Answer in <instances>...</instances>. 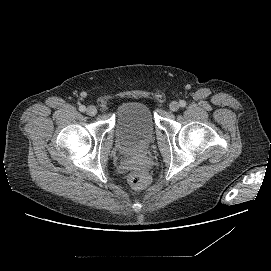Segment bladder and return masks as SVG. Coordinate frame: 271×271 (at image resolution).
I'll return each instance as SVG.
<instances>
[{"instance_id":"obj_1","label":"bladder","mask_w":271,"mask_h":271,"mask_svg":"<svg viewBox=\"0 0 271 271\" xmlns=\"http://www.w3.org/2000/svg\"><path fill=\"white\" fill-rule=\"evenodd\" d=\"M116 144L126 154L144 151L155 136L151 109L142 102H126L119 106L115 123Z\"/></svg>"}]
</instances>
